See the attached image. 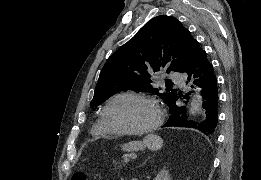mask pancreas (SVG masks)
<instances>
[{
	"instance_id": "pancreas-1",
	"label": "pancreas",
	"mask_w": 261,
	"mask_h": 180,
	"mask_svg": "<svg viewBox=\"0 0 261 180\" xmlns=\"http://www.w3.org/2000/svg\"><path fill=\"white\" fill-rule=\"evenodd\" d=\"M112 167L114 170H123L122 160L121 159H114V162H112Z\"/></svg>"
}]
</instances>
